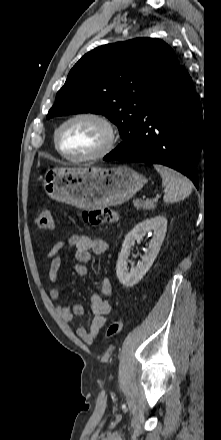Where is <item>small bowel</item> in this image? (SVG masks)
Wrapping results in <instances>:
<instances>
[{
  "mask_svg": "<svg viewBox=\"0 0 221 440\" xmlns=\"http://www.w3.org/2000/svg\"><path fill=\"white\" fill-rule=\"evenodd\" d=\"M65 246L75 247L74 258L76 263L74 270L79 276L88 275V263L91 260V252L96 255H101L107 250V243L103 239H92L83 235H72L65 240L57 242L46 256L49 260L48 278L52 284L49 295L53 300H58L61 296L60 289L58 288V272L61 266L59 251ZM101 288L105 296L111 294V284L108 279L103 280ZM90 302L93 314L90 327L89 329L84 327L77 329V335L87 344H93L95 342L100 330L105 326L112 309L109 300L98 294H93ZM55 310L65 322H71L74 317L84 315V308L78 303L71 305L59 303L56 305Z\"/></svg>",
  "mask_w": 221,
  "mask_h": 440,
  "instance_id": "obj_1",
  "label": "small bowel"
}]
</instances>
